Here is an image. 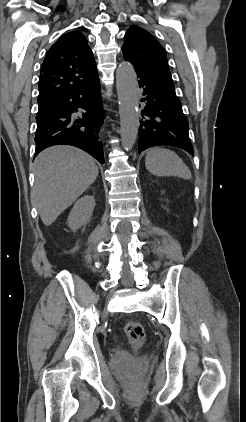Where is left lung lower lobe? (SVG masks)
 <instances>
[{
	"label": "left lung lower lobe",
	"mask_w": 246,
	"mask_h": 422,
	"mask_svg": "<svg viewBox=\"0 0 246 422\" xmlns=\"http://www.w3.org/2000/svg\"><path fill=\"white\" fill-rule=\"evenodd\" d=\"M142 95L138 151L169 145L194 153L188 134V121L181 102L173 93L147 75L136 71Z\"/></svg>",
	"instance_id": "0a47b994"
}]
</instances>
